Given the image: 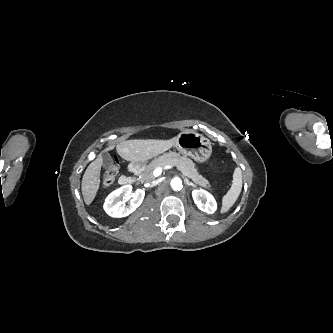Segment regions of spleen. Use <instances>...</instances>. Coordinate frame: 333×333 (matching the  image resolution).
Masks as SVG:
<instances>
[{"label": "spleen", "instance_id": "spleen-1", "mask_svg": "<svg viewBox=\"0 0 333 333\" xmlns=\"http://www.w3.org/2000/svg\"><path fill=\"white\" fill-rule=\"evenodd\" d=\"M242 189V172L240 168H236L233 173L232 186L226 195L222 198V208L221 212L225 213L230 210V208L237 201Z\"/></svg>", "mask_w": 333, "mask_h": 333}]
</instances>
